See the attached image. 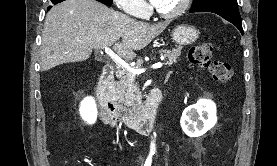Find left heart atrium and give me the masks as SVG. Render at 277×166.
Here are the masks:
<instances>
[{
	"instance_id": "obj_1",
	"label": "left heart atrium",
	"mask_w": 277,
	"mask_h": 166,
	"mask_svg": "<svg viewBox=\"0 0 277 166\" xmlns=\"http://www.w3.org/2000/svg\"><path fill=\"white\" fill-rule=\"evenodd\" d=\"M153 5H158L160 0H150Z\"/></svg>"
}]
</instances>
